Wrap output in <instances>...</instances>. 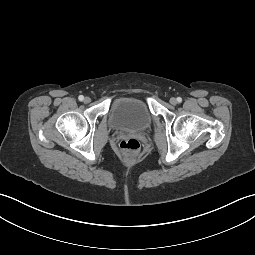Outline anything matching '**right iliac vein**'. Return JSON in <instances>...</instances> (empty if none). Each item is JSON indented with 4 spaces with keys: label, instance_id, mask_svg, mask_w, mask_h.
<instances>
[{
    "label": "right iliac vein",
    "instance_id": "1",
    "mask_svg": "<svg viewBox=\"0 0 255 255\" xmlns=\"http://www.w3.org/2000/svg\"><path fill=\"white\" fill-rule=\"evenodd\" d=\"M91 99L89 97L84 98V103H90Z\"/></svg>",
    "mask_w": 255,
    "mask_h": 255
}]
</instances>
